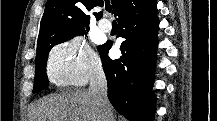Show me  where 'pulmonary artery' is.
<instances>
[{
	"instance_id": "1",
	"label": "pulmonary artery",
	"mask_w": 217,
	"mask_h": 121,
	"mask_svg": "<svg viewBox=\"0 0 217 121\" xmlns=\"http://www.w3.org/2000/svg\"><path fill=\"white\" fill-rule=\"evenodd\" d=\"M98 26L103 32H110L112 29V23L107 19L100 20Z\"/></svg>"
}]
</instances>
